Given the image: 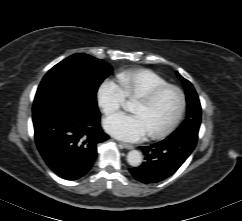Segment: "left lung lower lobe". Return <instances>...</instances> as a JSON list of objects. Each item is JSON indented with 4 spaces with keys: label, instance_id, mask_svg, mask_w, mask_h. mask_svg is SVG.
Instances as JSON below:
<instances>
[{
    "label": "left lung lower lobe",
    "instance_id": "1",
    "mask_svg": "<svg viewBox=\"0 0 242 221\" xmlns=\"http://www.w3.org/2000/svg\"><path fill=\"white\" fill-rule=\"evenodd\" d=\"M198 134H172L165 140L140 147L145 155L141 166L131 168L133 177L142 183H156L174 174L197 143Z\"/></svg>",
    "mask_w": 242,
    "mask_h": 221
}]
</instances>
